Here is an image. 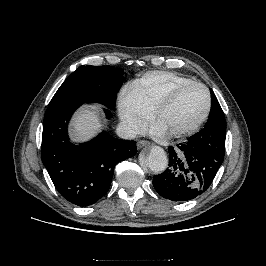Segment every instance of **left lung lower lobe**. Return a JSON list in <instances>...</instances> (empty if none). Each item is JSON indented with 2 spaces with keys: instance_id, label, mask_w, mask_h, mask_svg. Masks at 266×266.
<instances>
[{
  "instance_id": "left-lung-lower-lobe-1",
  "label": "left lung lower lobe",
  "mask_w": 266,
  "mask_h": 266,
  "mask_svg": "<svg viewBox=\"0 0 266 266\" xmlns=\"http://www.w3.org/2000/svg\"><path fill=\"white\" fill-rule=\"evenodd\" d=\"M168 168L153 177V186L162 197L184 202L204 193L211 185L224 157H217L191 145L168 147Z\"/></svg>"
}]
</instances>
